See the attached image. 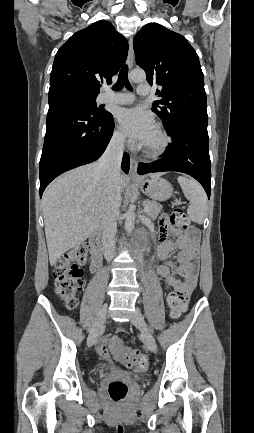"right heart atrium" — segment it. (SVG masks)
I'll return each mask as SVG.
<instances>
[{
	"label": "right heart atrium",
	"instance_id": "obj_1",
	"mask_svg": "<svg viewBox=\"0 0 254 433\" xmlns=\"http://www.w3.org/2000/svg\"><path fill=\"white\" fill-rule=\"evenodd\" d=\"M112 141L118 145L124 143L125 136L123 135L122 131L119 128L114 129L112 133Z\"/></svg>",
	"mask_w": 254,
	"mask_h": 433
}]
</instances>
